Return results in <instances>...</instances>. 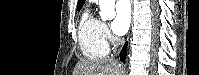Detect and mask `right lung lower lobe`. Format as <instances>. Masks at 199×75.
Here are the masks:
<instances>
[{
  "instance_id": "obj_1",
  "label": "right lung lower lobe",
  "mask_w": 199,
  "mask_h": 75,
  "mask_svg": "<svg viewBox=\"0 0 199 75\" xmlns=\"http://www.w3.org/2000/svg\"><path fill=\"white\" fill-rule=\"evenodd\" d=\"M126 49H127V42L125 43L123 49L121 50L120 53V59L122 62H125V57H126Z\"/></svg>"
}]
</instances>
